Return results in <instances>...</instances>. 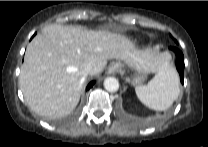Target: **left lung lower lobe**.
Wrapping results in <instances>:
<instances>
[{"instance_id": "left-lung-lower-lobe-1", "label": "left lung lower lobe", "mask_w": 208, "mask_h": 147, "mask_svg": "<svg viewBox=\"0 0 208 147\" xmlns=\"http://www.w3.org/2000/svg\"><path fill=\"white\" fill-rule=\"evenodd\" d=\"M176 54V68L180 75L181 83H184V56L183 53L176 47H171Z\"/></svg>"}]
</instances>
